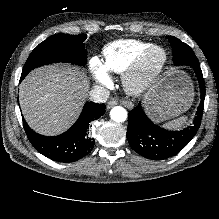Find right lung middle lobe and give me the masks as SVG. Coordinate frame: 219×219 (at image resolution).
Returning <instances> with one entry per match:
<instances>
[{
    "label": "right lung middle lobe",
    "mask_w": 219,
    "mask_h": 219,
    "mask_svg": "<svg viewBox=\"0 0 219 219\" xmlns=\"http://www.w3.org/2000/svg\"><path fill=\"white\" fill-rule=\"evenodd\" d=\"M87 36L58 34L47 38L40 43L28 57L22 70L23 79L32 69L42 65L69 62L77 65H85L87 51L83 43Z\"/></svg>",
    "instance_id": "obj_1"
}]
</instances>
